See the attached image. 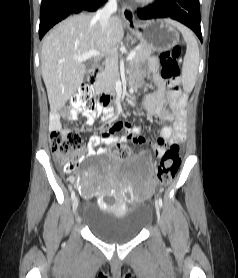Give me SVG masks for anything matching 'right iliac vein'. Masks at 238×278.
I'll list each match as a JSON object with an SVG mask.
<instances>
[{"label":"right iliac vein","instance_id":"63e3f726","mask_svg":"<svg viewBox=\"0 0 238 278\" xmlns=\"http://www.w3.org/2000/svg\"><path fill=\"white\" fill-rule=\"evenodd\" d=\"M78 206H79V199L76 197V198H74L73 204H72L73 212H74L75 214H76V212H77Z\"/></svg>","mask_w":238,"mask_h":278}]
</instances>
